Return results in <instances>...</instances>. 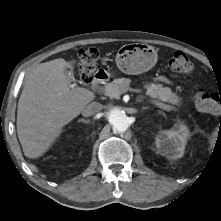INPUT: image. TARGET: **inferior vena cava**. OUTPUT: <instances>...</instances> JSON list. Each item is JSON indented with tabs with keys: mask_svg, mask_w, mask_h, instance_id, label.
Masks as SVG:
<instances>
[{
	"mask_svg": "<svg viewBox=\"0 0 221 221\" xmlns=\"http://www.w3.org/2000/svg\"><path fill=\"white\" fill-rule=\"evenodd\" d=\"M102 106L100 103L97 102H92L88 105H86L83 109H82V115L84 117H89V116H93L95 115L97 112H99L101 110Z\"/></svg>",
	"mask_w": 221,
	"mask_h": 221,
	"instance_id": "602c4592",
	"label": "inferior vena cava"
}]
</instances>
